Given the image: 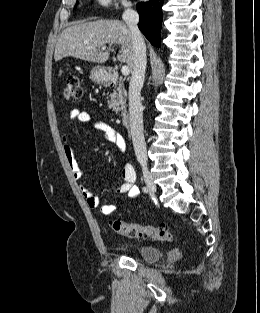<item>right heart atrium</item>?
I'll return each instance as SVG.
<instances>
[{"instance_id":"obj_1","label":"right heart atrium","mask_w":260,"mask_h":313,"mask_svg":"<svg viewBox=\"0 0 260 313\" xmlns=\"http://www.w3.org/2000/svg\"><path fill=\"white\" fill-rule=\"evenodd\" d=\"M97 4L100 7L103 8H109V7H113V6H123V7H128L129 3L127 2V0H96Z\"/></svg>"}]
</instances>
